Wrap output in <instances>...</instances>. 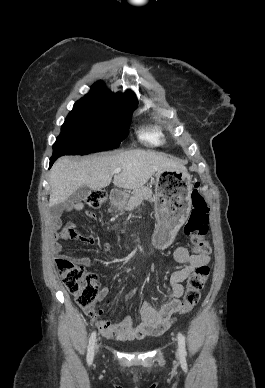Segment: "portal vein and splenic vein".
I'll return each mask as SVG.
<instances>
[{
    "label": "portal vein and splenic vein",
    "instance_id": "18ae733b",
    "mask_svg": "<svg viewBox=\"0 0 265 388\" xmlns=\"http://www.w3.org/2000/svg\"><path fill=\"white\" fill-rule=\"evenodd\" d=\"M121 168H116V170H113L112 174H120Z\"/></svg>",
    "mask_w": 265,
    "mask_h": 388
}]
</instances>
